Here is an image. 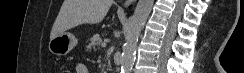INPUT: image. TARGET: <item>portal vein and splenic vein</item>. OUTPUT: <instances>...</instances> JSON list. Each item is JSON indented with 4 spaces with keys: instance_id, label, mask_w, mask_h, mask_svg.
<instances>
[{
    "instance_id": "obj_1",
    "label": "portal vein and splenic vein",
    "mask_w": 244,
    "mask_h": 73,
    "mask_svg": "<svg viewBox=\"0 0 244 73\" xmlns=\"http://www.w3.org/2000/svg\"><path fill=\"white\" fill-rule=\"evenodd\" d=\"M107 44L105 42L102 43V47L105 48Z\"/></svg>"
}]
</instances>
